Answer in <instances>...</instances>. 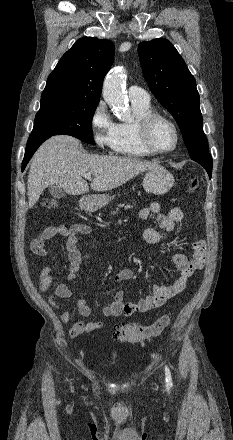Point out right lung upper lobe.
Instances as JSON below:
<instances>
[{
  "label": "right lung upper lobe",
  "instance_id": "1",
  "mask_svg": "<svg viewBox=\"0 0 233 440\" xmlns=\"http://www.w3.org/2000/svg\"><path fill=\"white\" fill-rule=\"evenodd\" d=\"M114 59V44L84 37L67 51L47 79L41 102L53 99L100 101L104 77Z\"/></svg>",
  "mask_w": 233,
  "mask_h": 440
}]
</instances>
